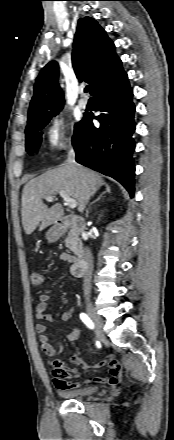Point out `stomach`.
<instances>
[{"mask_svg": "<svg viewBox=\"0 0 174 440\" xmlns=\"http://www.w3.org/2000/svg\"><path fill=\"white\" fill-rule=\"evenodd\" d=\"M60 237L59 233H57L54 229H50L47 233H46V238L49 242H55L56 240H58Z\"/></svg>", "mask_w": 174, "mask_h": 440, "instance_id": "stomach-1", "label": "stomach"}]
</instances>
